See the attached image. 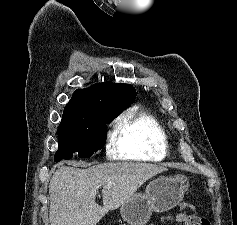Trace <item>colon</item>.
I'll return each mask as SVG.
<instances>
[{
    "mask_svg": "<svg viewBox=\"0 0 237 225\" xmlns=\"http://www.w3.org/2000/svg\"><path fill=\"white\" fill-rule=\"evenodd\" d=\"M171 221L180 222L183 225H211L210 222L195 214L177 213L170 217Z\"/></svg>",
    "mask_w": 237,
    "mask_h": 225,
    "instance_id": "1",
    "label": "colon"
}]
</instances>
